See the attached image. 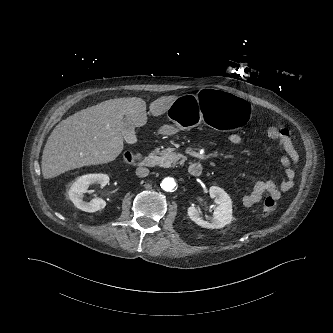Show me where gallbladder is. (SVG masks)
Here are the masks:
<instances>
[{"label":"gallbladder","mask_w":333,"mask_h":333,"mask_svg":"<svg viewBox=\"0 0 333 333\" xmlns=\"http://www.w3.org/2000/svg\"><path fill=\"white\" fill-rule=\"evenodd\" d=\"M121 133L127 143L134 144L137 142V138L135 136V131H134V125L132 121H130L126 117L122 121Z\"/></svg>","instance_id":"1"}]
</instances>
